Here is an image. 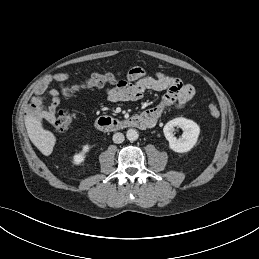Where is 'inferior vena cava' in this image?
<instances>
[{"label":"inferior vena cava","mask_w":259,"mask_h":259,"mask_svg":"<svg viewBox=\"0 0 259 259\" xmlns=\"http://www.w3.org/2000/svg\"><path fill=\"white\" fill-rule=\"evenodd\" d=\"M125 137L122 133L118 132L113 135V142L116 144L122 143Z\"/></svg>","instance_id":"obj_1"}]
</instances>
